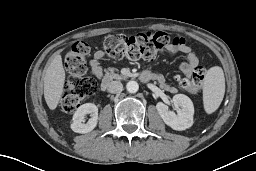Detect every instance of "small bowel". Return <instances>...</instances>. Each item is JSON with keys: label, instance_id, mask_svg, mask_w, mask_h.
I'll return each mask as SVG.
<instances>
[{"label": "small bowel", "instance_id": "obj_1", "mask_svg": "<svg viewBox=\"0 0 256 171\" xmlns=\"http://www.w3.org/2000/svg\"><path fill=\"white\" fill-rule=\"evenodd\" d=\"M167 51L170 55L183 54L185 61L180 64V70L185 75L189 76L192 74L194 69L198 65V57L187 45L186 41L181 37H175L172 42L167 46ZM105 57V53L101 50L96 51L90 61V67L93 74L100 79L103 76V69L100 65V61ZM150 75V79L156 80L164 89L171 90L172 87L167 83L164 76L160 74L146 73Z\"/></svg>", "mask_w": 256, "mask_h": 171}]
</instances>
